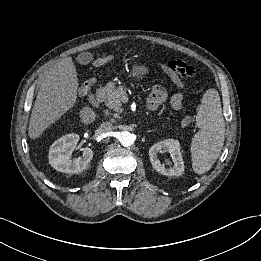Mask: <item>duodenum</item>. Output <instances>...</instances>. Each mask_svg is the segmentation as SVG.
I'll use <instances>...</instances> for the list:
<instances>
[{
  "mask_svg": "<svg viewBox=\"0 0 261 261\" xmlns=\"http://www.w3.org/2000/svg\"><path fill=\"white\" fill-rule=\"evenodd\" d=\"M105 94H106L105 87H101L100 89L97 90V92L95 94V100L98 104H102Z\"/></svg>",
  "mask_w": 261,
  "mask_h": 261,
  "instance_id": "1",
  "label": "duodenum"
}]
</instances>
